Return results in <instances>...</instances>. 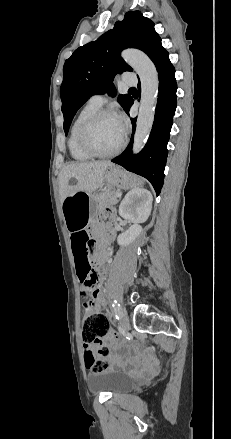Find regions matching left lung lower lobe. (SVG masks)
Listing matches in <instances>:
<instances>
[{
	"label": "left lung lower lobe",
	"mask_w": 231,
	"mask_h": 439,
	"mask_svg": "<svg viewBox=\"0 0 231 439\" xmlns=\"http://www.w3.org/2000/svg\"><path fill=\"white\" fill-rule=\"evenodd\" d=\"M154 64L159 74L158 102L155 110V117L149 139L143 150L131 155L133 136L130 145L118 157L111 161L123 166L128 171L134 172L148 179L159 195L164 182V169L167 159V143L173 124L177 105V84L175 80V69L169 60V53L164 49L154 59ZM140 92V83L138 84ZM134 100L131 98L125 112L129 109ZM133 133L136 118H131Z\"/></svg>",
	"instance_id": "left-lung-lower-lobe-1"
}]
</instances>
